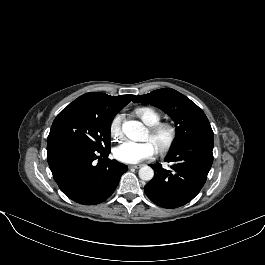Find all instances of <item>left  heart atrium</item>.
Segmentation results:
<instances>
[{
  "instance_id": "obj_1",
  "label": "left heart atrium",
  "mask_w": 265,
  "mask_h": 265,
  "mask_svg": "<svg viewBox=\"0 0 265 265\" xmlns=\"http://www.w3.org/2000/svg\"><path fill=\"white\" fill-rule=\"evenodd\" d=\"M156 153L157 148L153 142H137L129 139L124 140L114 150L115 157L128 164H137L144 160L153 159Z\"/></svg>"
}]
</instances>
